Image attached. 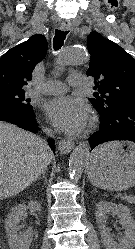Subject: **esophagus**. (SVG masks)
Wrapping results in <instances>:
<instances>
[{"label": "esophagus", "mask_w": 135, "mask_h": 249, "mask_svg": "<svg viewBox=\"0 0 135 249\" xmlns=\"http://www.w3.org/2000/svg\"><path fill=\"white\" fill-rule=\"evenodd\" d=\"M60 29L63 30V31H71L72 30V25L69 21H64L61 23L60 25ZM59 150L66 154V153H69L73 147H74V143L70 140H61L59 142Z\"/></svg>", "instance_id": "1"}]
</instances>
